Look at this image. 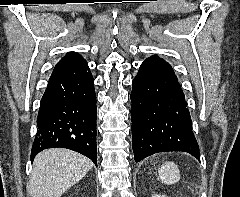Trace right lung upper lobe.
Here are the masks:
<instances>
[{
    "label": "right lung upper lobe",
    "mask_w": 240,
    "mask_h": 197,
    "mask_svg": "<svg viewBox=\"0 0 240 197\" xmlns=\"http://www.w3.org/2000/svg\"><path fill=\"white\" fill-rule=\"evenodd\" d=\"M88 65L81 55L69 52L55 66L54 71L64 69H74Z\"/></svg>",
    "instance_id": "cb5924a9"
}]
</instances>
